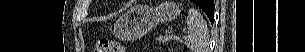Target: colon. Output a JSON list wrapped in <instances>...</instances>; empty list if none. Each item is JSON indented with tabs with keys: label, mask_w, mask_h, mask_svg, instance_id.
I'll return each instance as SVG.
<instances>
[{
	"label": "colon",
	"mask_w": 305,
	"mask_h": 52,
	"mask_svg": "<svg viewBox=\"0 0 305 52\" xmlns=\"http://www.w3.org/2000/svg\"><path fill=\"white\" fill-rule=\"evenodd\" d=\"M95 52H124V48L118 41L102 38L97 42Z\"/></svg>",
	"instance_id": "1"
}]
</instances>
